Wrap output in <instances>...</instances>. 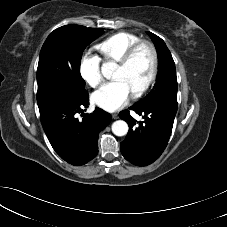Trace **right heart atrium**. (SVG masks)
Here are the masks:
<instances>
[{
	"instance_id": "1",
	"label": "right heart atrium",
	"mask_w": 227,
	"mask_h": 227,
	"mask_svg": "<svg viewBox=\"0 0 227 227\" xmlns=\"http://www.w3.org/2000/svg\"><path fill=\"white\" fill-rule=\"evenodd\" d=\"M79 72L83 80L93 88L98 87L103 81L100 59L90 52H85L81 56Z\"/></svg>"
}]
</instances>
